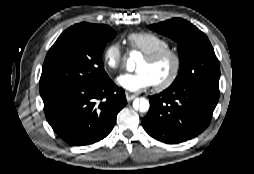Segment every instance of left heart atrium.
Masks as SVG:
<instances>
[{
  "label": "left heart atrium",
  "instance_id": "1",
  "mask_svg": "<svg viewBox=\"0 0 254 174\" xmlns=\"http://www.w3.org/2000/svg\"><path fill=\"white\" fill-rule=\"evenodd\" d=\"M118 85L131 92H140L154 85L150 75L145 71L122 74L116 79Z\"/></svg>",
  "mask_w": 254,
  "mask_h": 174
}]
</instances>
